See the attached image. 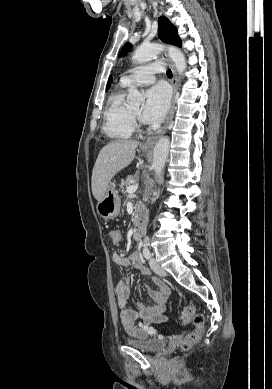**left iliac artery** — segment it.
<instances>
[{
  "instance_id": "1",
  "label": "left iliac artery",
  "mask_w": 272,
  "mask_h": 389,
  "mask_svg": "<svg viewBox=\"0 0 272 389\" xmlns=\"http://www.w3.org/2000/svg\"><path fill=\"white\" fill-rule=\"evenodd\" d=\"M143 255L146 259H149L151 257V253H150V250L147 246L144 247L143 249Z\"/></svg>"
}]
</instances>
